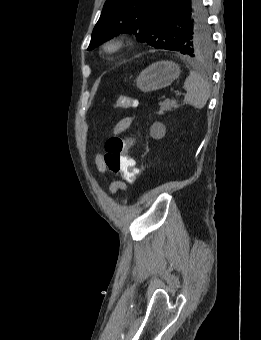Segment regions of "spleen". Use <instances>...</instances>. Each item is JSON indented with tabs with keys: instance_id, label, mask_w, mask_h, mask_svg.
<instances>
[{
	"instance_id": "spleen-1",
	"label": "spleen",
	"mask_w": 261,
	"mask_h": 340,
	"mask_svg": "<svg viewBox=\"0 0 261 340\" xmlns=\"http://www.w3.org/2000/svg\"><path fill=\"white\" fill-rule=\"evenodd\" d=\"M183 87L187 91L184 98L185 103L197 109H202L206 105L210 96V86L199 73L190 71Z\"/></svg>"
}]
</instances>
